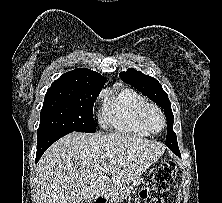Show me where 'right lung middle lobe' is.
<instances>
[{
	"label": "right lung middle lobe",
	"instance_id": "right-lung-middle-lobe-1",
	"mask_svg": "<svg viewBox=\"0 0 222 203\" xmlns=\"http://www.w3.org/2000/svg\"><path fill=\"white\" fill-rule=\"evenodd\" d=\"M99 93L98 90L48 89L37 137L66 131L94 133L93 105Z\"/></svg>",
	"mask_w": 222,
	"mask_h": 203
}]
</instances>
